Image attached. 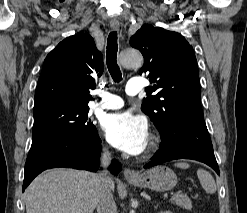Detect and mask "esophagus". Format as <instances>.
Listing matches in <instances>:
<instances>
[{
    "label": "esophagus",
    "instance_id": "34e87169",
    "mask_svg": "<svg viewBox=\"0 0 247 213\" xmlns=\"http://www.w3.org/2000/svg\"><path fill=\"white\" fill-rule=\"evenodd\" d=\"M110 27L112 30L116 31V30H119L120 24H119V22H110ZM124 176L126 179L137 178L138 173L134 172L133 170H131L129 168H125L124 169Z\"/></svg>",
    "mask_w": 247,
    "mask_h": 213
}]
</instances>
